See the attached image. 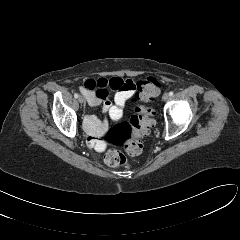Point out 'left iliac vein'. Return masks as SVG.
<instances>
[{"label": "left iliac vein", "mask_w": 240, "mask_h": 240, "mask_svg": "<svg viewBox=\"0 0 240 240\" xmlns=\"http://www.w3.org/2000/svg\"><path fill=\"white\" fill-rule=\"evenodd\" d=\"M169 98V94L168 93H164L162 96V100L166 101Z\"/></svg>", "instance_id": "1"}]
</instances>
